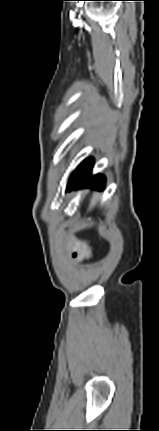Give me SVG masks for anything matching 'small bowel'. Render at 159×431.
Listing matches in <instances>:
<instances>
[{"label":"small bowel","instance_id":"small-bowel-1","mask_svg":"<svg viewBox=\"0 0 159 431\" xmlns=\"http://www.w3.org/2000/svg\"><path fill=\"white\" fill-rule=\"evenodd\" d=\"M90 254L91 250L87 246H80L73 251L72 257L75 259H84L90 256Z\"/></svg>","mask_w":159,"mask_h":431}]
</instances>
